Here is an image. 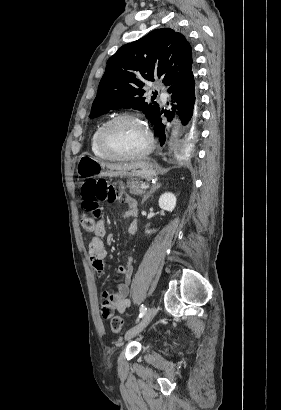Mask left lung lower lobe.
Returning <instances> with one entry per match:
<instances>
[{"label": "left lung lower lobe", "mask_w": 281, "mask_h": 410, "mask_svg": "<svg viewBox=\"0 0 281 410\" xmlns=\"http://www.w3.org/2000/svg\"><path fill=\"white\" fill-rule=\"evenodd\" d=\"M168 93L171 94V110L165 115L168 121H171L176 112L185 127V134L190 139L196 136V122L198 119V98L196 87L195 70L186 75L183 79L168 88ZM177 110V111H176ZM163 110H160L152 125L154 126V134L159 137L161 145L166 140L165 126L161 121Z\"/></svg>", "instance_id": "0a47b994"}]
</instances>
